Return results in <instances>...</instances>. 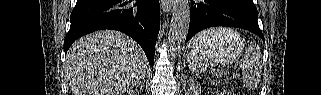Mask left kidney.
Returning a JSON list of instances; mask_svg holds the SVG:
<instances>
[{"mask_svg":"<svg viewBox=\"0 0 321 95\" xmlns=\"http://www.w3.org/2000/svg\"><path fill=\"white\" fill-rule=\"evenodd\" d=\"M200 91V90H199ZM191 95H198V92H196L195 90L191 91Z\"/></svg>","mask_w":321,"mask_h":95,"instance_id":"1","label":"left kidney"}]
</instances>
